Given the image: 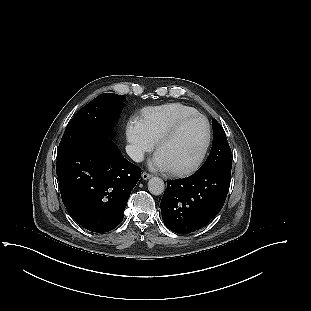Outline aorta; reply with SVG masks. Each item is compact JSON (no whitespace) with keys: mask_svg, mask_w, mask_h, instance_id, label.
Returning a JSON list of instances; mask_svg holds the SVG:
<instances>
[{"mask_svg":"<svg viewBox=\"0 0 311 311\" xmlns=\"http://www.w3.org/2000/svg\"><path fill=\"white\" fill-rule=\"evenodd\" d=\"M148 190L153 195H161L165 190L164 181L159 177H152L148 181Z\"/></svg>","mask_w":311,"mask_h":311,"instance_id":"1","label":"aorta"}]
</instances>
